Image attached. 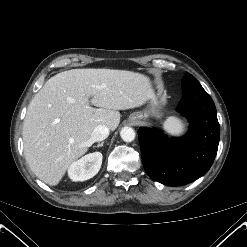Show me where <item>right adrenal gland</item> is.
<instances>
[{
    "instance_id": "1",
    "label": "right adrenal gland",
    "mask_w": 247,
    "mask_h": 247,
    "mask_svg": "<svg viewBox=\"0 0 247 247\" xmlns=\"http://www.w3.org/2000/svg\"><path fill=\"white\" fill-rule=\"evenodd\" d=\"M103 144H104V142H101V143L97 144V146H94V147L99 148V147H102V146H103Z\"/></svg>"
}]
</instances>
